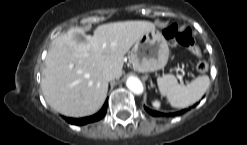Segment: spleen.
<instances>
[{"instance_id":"obj_1","label":"spleen","mask_w":247,"mask_h":145,"mask_svg":"<svg viewBox=\"0 0 247 145\" xmlns=\"http://www.w3.org/2000/svg\"><path fill=\"white\" fill-rule=\"evenodd\" d=\"M157 85L161 95L166 96L172 107L186 108L205 94L210 80L207 75H203L185 86L179 84L174 75L167 74L157 78Z\"/></svg>"}]
</instances>
